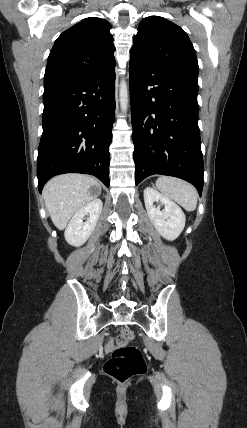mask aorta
Returning a JSON list of instances; mask_svg holds the SVG:
<instances>
[{"label": "aorta", "instance_id": "obj_1", "mask_svg": "<svg viewBox=\"0 0 247 428\" xmlns=\"http://www.w3.org/2000/svg\"><path fill=\"white\" fill-rule=\"evenodd\" d=\"M119 97L121 109L126 111L128 108V88L125 81L120 83Z\"/></svg>", "mask_w": 247, "mask_h": 428}]
</instances>
